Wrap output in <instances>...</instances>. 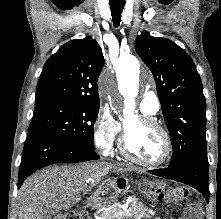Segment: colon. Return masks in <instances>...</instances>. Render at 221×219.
<instances>
[{"label":"colon","instance_id":"colon-1","mask_svg":"<svg viewBox=\"0 0 221 219\" xmlns=\"http://www.w3.org/2000/svg\"><path fill=\"white\" fill-rule=\"evenodd\" d=\"M177 194L179 196H186L188 192L186 190H179L177 191ZM62 219H82V216L80 213L72 211L64 215ZM181 219H203L202 210L199 206L190 205L184 211Z\"/></svg>","mask_w":221,"mask_h":219}]
</instances>
